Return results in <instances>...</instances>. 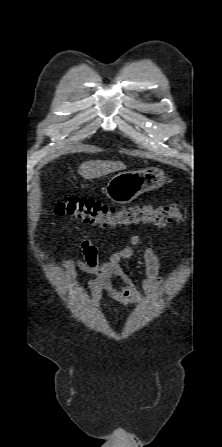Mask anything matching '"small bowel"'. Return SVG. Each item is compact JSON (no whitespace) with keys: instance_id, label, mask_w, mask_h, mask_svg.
Masks as SVG:
<instances>
[{"instance_id":"1","label":"small bowel","mask_w":222,"mask_h":447,"mask_svg":"<svg viewBox=\"0 0 222 447\" xmlns=\"http://www.w3.org/2000/svg\"><path fill=\"white\" fill-rule=\"evenodd\" d=\"M133 246L141 245L139 236L134 235L131 239ZM84 260H65L62 265L66 268L71 281L76 279V271L80 270L94 277L83 284L87 287L95 303L100 304L103 293L117 300L125 306L143 300V296L134 282L120 265L125 259L134 255L132 247H126L109 255L107 261H101L98 256L97 247L88 238L80 241ZM146 279L141 282V288L147 298H153L156 294L158 284L161 282L160 261L156 249L146 246L144 251Z\"/></svg>"}]
</instances>
